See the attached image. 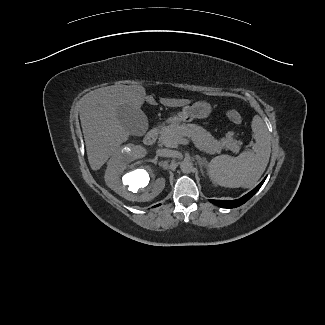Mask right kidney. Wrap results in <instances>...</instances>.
<instances>
[{"label":"right kidney","mask_w":325,"mask_h":325,"mask_svg":"<svg viewBox=\"0 0 325 325\" xmlns=\"http://www.w3.org/2000/svg\"><path fill=\"white\" fill-rule=\"evenodd\" d=\"M140 158L131 146L119 148L108 162L105 182L129 201L146 202L162 192L165 179L156 178L155 170ZM125 170L128 172L123 175Z\"/></svg>","instance_id":"ca27d5eb"}]
</instances>
